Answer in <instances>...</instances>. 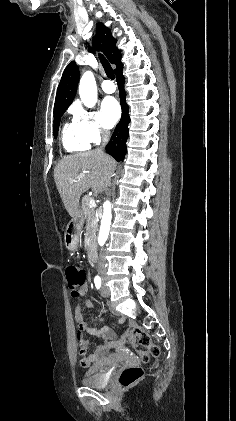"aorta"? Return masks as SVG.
<instances>
[{
    "mask_svg": "<svg viewBox=\"0 0 236 421\" xmlns=\"http://www.w3.org/2000/svg\"><path fill=\"white\" fill-rule=\"evenodd\" d=\"M79 94L82 102H84L86 106H94L95 102H97V84L91 70H87V72H84L83 76H81L79 82ZM111 219V202L110 200H105V202H103V215L98 237L100 247H103L107 241Z\"/></svg>",
    "mask_w": 236,
    "mask_h": 421,
    "instance_id": "1",
    "label": "aorta"
}]
</instances>
